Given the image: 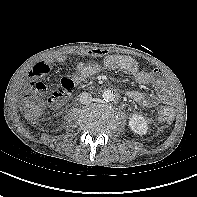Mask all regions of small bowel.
Wrapping results in <instances>:
<instances>
[{
	"label": "small bowel",
	"mask_w": 197,
	"mask_h": 197,
	"mask_svg": "<svg viewBox=\"0 0 197 197\" xmlns=\"http://www.w3.org/2000/svg\"><path fill=\"white\" fill-rule=\"evenodd\" d=\"M76 55L82 57H102L106 68L111 70H121L132 77L142 85H155L157 94L146 93L138 90H130L127 95L136 103L144 107L156 106L159 102H171L173 99V89L170 84L162 77V73L157 69L140 68L137 62L126 55L106 54L100 49L79 50ZM57 63L67 61L66 55H58L54 58ZM51 59L37 63L29 72L32 78L42 77L50 72ZM100 70V65L96 62H80L77 65V73L74 75V81H81L91 77Z\"/></svg>",
	"instance_id": "1"
}]
</instances>
